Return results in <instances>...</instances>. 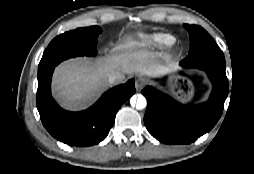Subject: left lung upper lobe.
Masks as SVG:
<instances>
[{"instance_id":"obj_1","label":"left lung upper lobe","mask_w":254,"mask_h":174,"mask_svg":"<svg viewBox=\"0 0 254 174\" xmlns=\"http://www.w3.org/2000/svg\"><path fill=\"white\" fill-rule=\"evenodd\" d=\"M184 28L190 34L189 54L183 60L184 62L210 61L225 64V58L221 49L205 29L198 25L188 24H185Z\"/></svg>"}]
</instances>
